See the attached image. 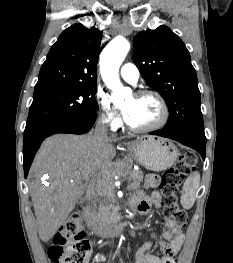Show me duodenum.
Wrapping results in <instances>:
<instances>
[{
  "label": "duodenum",
  "instance_id": "1",
  "mask_svg": "<svg viewBox=\"0 0 233 263\" xmlns=\"http://www.w3.org/2000/svg\"><path fill=\"white\" fill-rule=\"evenodd\" d=\"M134 203L131 204L134 209ZM83 217L88 228L100 238H116L119 237L126 229L128 222L127 220H120L109 225H101L95 218L92 208L86 205L83 208Z\"/></svg>",
  "mask_w": 233,
  "mask_h": 263
}]
</instances>
